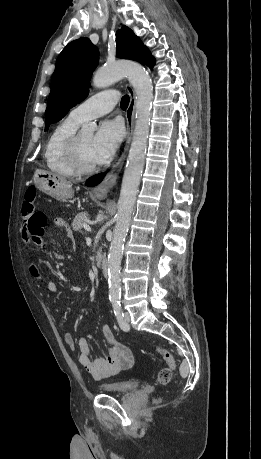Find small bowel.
I'll return each mask as SVG.
<instances>
[{
    "label": "small bowel",
    "instance_id": "obj_1",
    "mask_svg": "<svg viewBox=\"0 0 261 459\" xmlns=\"http://www.w3.org/2000/svg\"><path fill=\"white\" fill-rule=\"evenodd\" d=\"M54 225L64 229L65 231H69L67 223L61 217H56L54 219ZM43 235L44 233L38 235L35 234L34 238H25L24 236L23 238L28 243H33L45 248L47 247V243L45 242ZM29 272L35 279L39 280L44 285L48 292L54 293L57 291V285L42 275L38 265L31 264ZM102 332L106 341V354L105 356L96 359L92 358L90 348L85 338L82 337L75 341L70 333H65L64 335V340L69 349L75 350L77 347L79 348L80 364L95 379L110 377L121 371L130 369L133 365V356L130 349L116 338L112 327L109 324H105L102 328Z\"/></svg>",
    "mask_w": 261,
    "mask_h": 459
}]
</instances>
